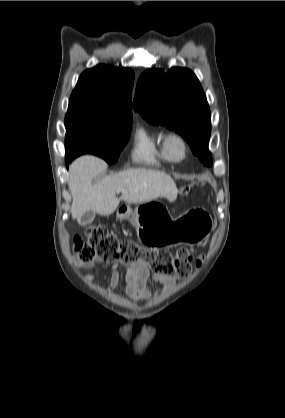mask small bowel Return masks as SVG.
Listing matches in <instances>:
<instances>
[{
    "label": "small bowel",
    "mask_w": 285,
    "mask_h": 418,
    "mask_svg": "<svg viewBox=\"0 0 285 418\" xmlns=\"http://www.w3.org/2000/svg\"><path fill=\"white\" fill-rule=\"evenodd\" d=\"M100 263L99 260L82 266L83 269L88 270L89 274L87 276V281L91 282L94 280L97 274L96 264ZM119 264L116 263L113 265V272L108 282L107 289L108 291L114 290L121 281L120 273L118 272ZM150 277L149 267L144 263H138L130 266H126V294L128 297L133 299H142L146 296L148 292V281ZM156 281L165 282L172 284V280H163L156 278ZM158 292H155L154 295H157Z\"/></svg>",
    "instance_id": "obj_1"
}]
</instances>
